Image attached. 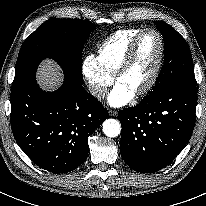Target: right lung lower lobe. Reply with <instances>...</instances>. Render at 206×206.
Returning <instances> with one entry per match:
<instances>
[{"label":"right lung lower lobe","mask_w":206,"mask_h":206,"mask_svg":"<svg viewBox=\"0 0 206 206\" xmlns=\"http://www.w3.org/2000/svg\"><path fill=\"white\" fill-rule=\"evenodd\" d=\"M11 128L24 153L39 167L66 173L88 154V137L108 118L107 109L65 76L55 92L39 88L35 76L11 92Z\"/></svg>","instance_id":"obj_1"}]
</instances>
